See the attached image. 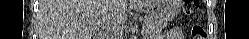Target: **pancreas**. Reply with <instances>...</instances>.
<instances>
[{
    "label": "pancreas",
    "mask_w": 249,
    "mask_h": 39,
    "mask_svg": "<svg viewBox=\"0 0 249 39\" xmlns=\"http://www.w3.org/2000/svg\"><path fill=\"white\" fill-rule=\"evenodd\" d=\"M165 26L166 22L164 20L154 17H145L143 23V35L149 39L158 34Z\"/></svg>",
    "instance_id": "obj_1"
}]
</instances>
